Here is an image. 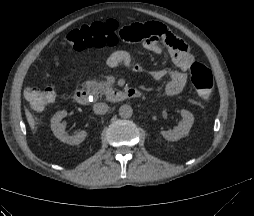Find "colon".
<instances>
[{
  "instance_id": "1",
  "label": "colon",
  "mask_w": 254,
  "mask_h": 216,
  "mask_svg": "<svg viewBox=\"0 0 254 216\" xmlns=\"http://www.w3.org/2000/svg\"><path fill=\"white\" fill-rule=\"evenodd\" d=\"M118 28L119 24L114 20L94 22L72 31L62 39L61 44L69 53L86 48L112 47L120 41L117 37ZM189 76L198 94L208 99L214 87L211 70L204 64L194 62L189 66ZM25 97L33 110L43 111L52 104L55 93L51 88L30 87Z\"/></svg>"
}]
</instances>
